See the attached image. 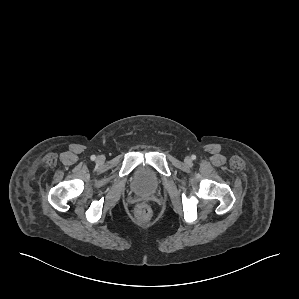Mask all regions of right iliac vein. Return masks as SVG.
<instances>
[{"label":"right iliac vein","instance_id":"1","mask_svg":"<svg viewBox=\"0 0 299 299\" xmlns=\"http://www.w3.org/2000/svg\"><path fill=\"white\" fill-rule=\"evenodd\" d=\"M97 162L102 163L103 162V157L102 156L97 157Z\"/></svg>","mask_w":299,"mask_h":299}]
</instances>
